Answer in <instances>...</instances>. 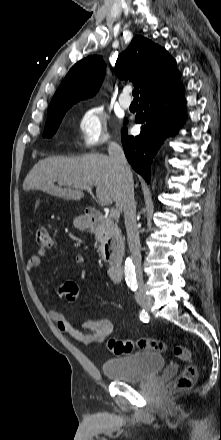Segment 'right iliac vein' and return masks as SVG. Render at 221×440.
<instances>
[{"label": "right iliac vein", "mask_w": 221, "mask_h": 440, "mask_svg": "<svg viewBox=\"0 0 221 440\" xmlns=\"http://www.w3.org/2000/svg\"><path fill=\"white\" fill-rule=\"evenodd\" d=\"M139 304H140V306L143 308V309H145L146 311H148L150 308H151V306H152V299H146V300H144V301H140L139 302Z\"/></svg>", "instance_id": "63e3f726"}]
</instances>
